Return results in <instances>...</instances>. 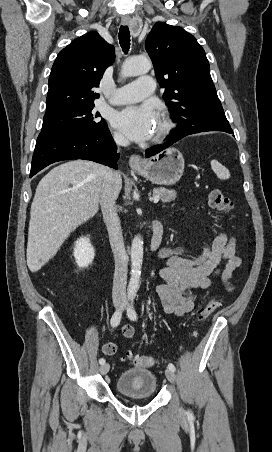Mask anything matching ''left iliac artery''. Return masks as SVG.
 Masks as SVG:
<instances>
[{"label": "left iliac artery", "instance_id": "44dca946", "mask_svg": "<svg viewBox=\"0 0 272 452\" xmlns=\"http://www.w3.org/2000/svg\"><path fill=\"white\" fill-rule=\"evenodd\" d=\"M134 299H135V296H132V297L130 298L131 304H130L128 310H127L128 317H129L131 320H133V321H134V320H137V314H136V311H135V309H134ZM168 368L171 369L172 371H175V370H176L174 364H172V363H169V364H168ZM188 416H192L191 411L188 412Z\"/></svg>", "mask_w": 272, "mask_h": 452}]
</instances>
